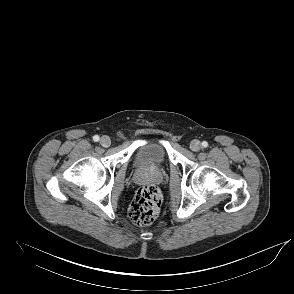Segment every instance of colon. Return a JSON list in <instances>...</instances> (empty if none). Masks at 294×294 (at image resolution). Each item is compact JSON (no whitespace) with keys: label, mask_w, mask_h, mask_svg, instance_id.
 Listing matches in <instances>:
<instances>
[{"label":"colon","mask_w":294,"mask_h":294,"mask_svg":"<svg viewBox=\"0 0 294 294\" xmlns=\"http://www.w3.org/2000/svg\"><path fill=\"white\" fill-rule=\"evenodd\" d=\"M161 203L162 196L156 186L141 187L129 207L131 221L140 226L151 224L160 213Z\"/></svg>","instance_id":"1"}]
</instances>
